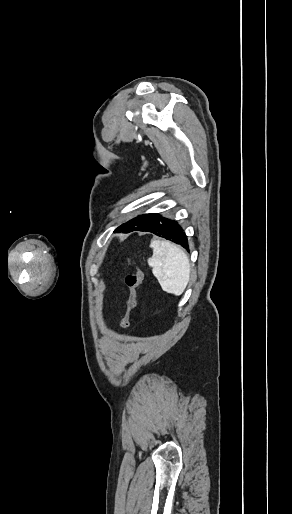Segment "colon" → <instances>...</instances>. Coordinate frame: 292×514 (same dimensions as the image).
<instances>
[{
  "instance_id": "colon-1",
  "label": "colon",
  "mask_w": 292,
  "mask_h": 514,
  "mask_svg": "<svg viewBox=\"0 0 292 514\" xmlns=\"http://www.w3.org/2000/svg\"><path fill=\"white\" fill-rule=\"evenodd\" d=\"M143 273L140 269L129 267L125 276V285L129 291L127 299V311L120 321L121 329H128L132 320V312L136 306L138 288L142 282Z\"/></svg>"
}]
</instances>
